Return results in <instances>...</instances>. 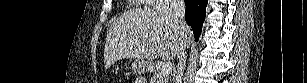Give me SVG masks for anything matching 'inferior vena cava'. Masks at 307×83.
<instances>
[{
    "label": "inferior vena cava",
    "instance_id": "602c4592",
    "mask_svg": "<svg viewBox=\"0 0 307 83\" xmlns=\"http://www.w3.org/2000/svg\"><path fill=\"white\" fill-rule=\"evenodd\" d=\"M170 6L173 13L174 18L178 24L179 33L181 36L182 44L180 46V50L177 54L178 59V66H177V75H176V83H182L184 70L186 66V52H185V45L183 43L184 40V30L186 27V23L184 20L185 16V3L184 0H170Z\"/></svg>",
    "mask_w": 307,
    "mask_h": 83
}]
</instances>
